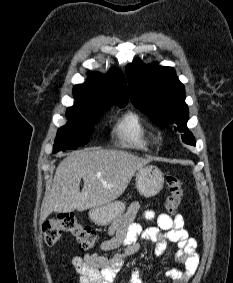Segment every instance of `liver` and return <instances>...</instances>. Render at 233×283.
Listing matches in <instances>:
<instances>
[{"instance_id": "obj_1", "label": "liver", "mask_w": 233, "mask_h": 283, "mask_svg": "<svg viewBox=\"0 0 233 283\" xmlns=\"http://www.w3.org/2000/svg\"><path fill=\"white\" fill-rule=\"evenodd\" d=\"M150 160L121 150L86 149L66 157L43 199L40 222L53 212L84 211L111 203ZM84 187L80 192V181Z\"/></svg>"}]
</instances>
